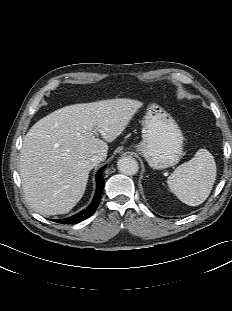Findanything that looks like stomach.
I'll list each match as a JSON object with an SVG mask.
<instances>
[{
  "label": "stomach",
  "instance_id": "obj_1",
  "mask_svg": "<svg viewBox=\"0 0 232 311\" xmlns=\"http://www.w3.org/2000/svg\"><path fill=\"white\" fill-rule=\"evenodd\" d=\"M183 134L163 108L150 104L143 120L142 140L135 146L150 167L165 169L177 164L183 154Z\"/></svg>",
  "mask_w": 232,
  "mask_h": 311
}]
</instances>
